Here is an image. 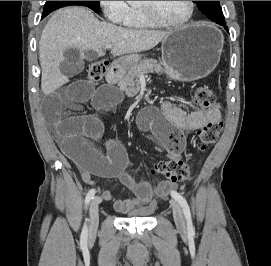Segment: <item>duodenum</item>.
Returning <instances> with one entry per match:
<instances>
[{
	"label": "duodenum",
	"mask_w": 271,
	"mask_h": 266,
	"mask_svg": "<svg viewBox=\"0 0 271 266\" xmlns=\"http://www.w3.org/2000/svg\"><path fill=\"white\" fill-rule=\"evenodd\" d=\"M125 60L117 59L111 63L109 71L107 73V82L110 85H116L124 72Z\"/></svg>",
	"instance_id": "duodenum-1"
}]
</instances>
